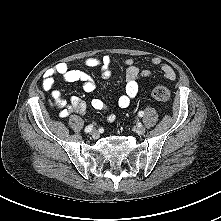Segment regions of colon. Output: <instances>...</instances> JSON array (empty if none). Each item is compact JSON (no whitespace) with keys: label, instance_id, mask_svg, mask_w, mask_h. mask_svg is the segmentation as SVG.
<instances>
[{"label":"colon","instance_id":"1","mask_svg":"<svg viewBox=\"0 0 221 221\" xmlns=\"http://www.w3.org/2000/svg\"><path fill=\"white\" fill-rule=\"evenodd\" d=\"M151 96L159 102H166L170 98V91L165 86H156L152 89Z\"/></svg>","mask_w":221,"mask_h":221}]
</instances>
